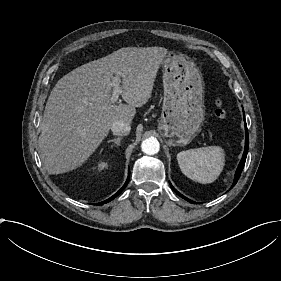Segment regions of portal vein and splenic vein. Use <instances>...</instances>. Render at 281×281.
<instances>
[{"mask_svg":"<svg viewBox=\"0 0 281 281\" xmlns=\"http://www.w3.org/2000/svg\"><path fill=\"white\" fill-rule=\"evenodd\" d=\"M119 79H120V77H117V76H114L112 78L114 90H113V94H112V96L110 98V101H109V103L112 104V105L115 104L118 101L119 92H120V88H119V84H118ZM86 106H89L88 102L86 103Z\"/></svg>","mask_w":281,"mask_h":281,"instance_id":"portal-vein-and-splenic-vein-1","label":"portal vein and splenic vein"}]
</instances>
